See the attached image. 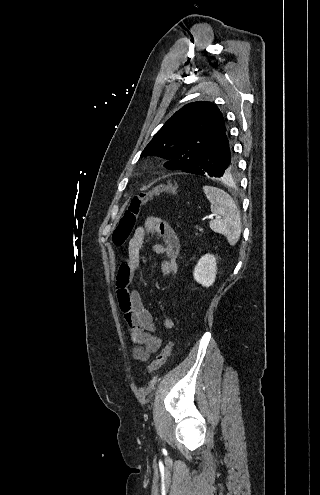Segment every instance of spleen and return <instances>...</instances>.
Instances as JSON below:
<instances>
[{"mask_svg":"<svg viewBox=\"0 0 320 495\" xmlns=\"http://www.w3.org/2000/svg\"><path fill=\"white\" fill-rule=\"evenodd\" d=\"M204 193L211 203V212L217 217L210 222V228L224 235L231 246H234L241 234V218L235 202L225 191L203 186Z\"/></svg>","mask_w":320,"mask_h":495,"instance_id":"1","label":"spleen"}]
</instances>
